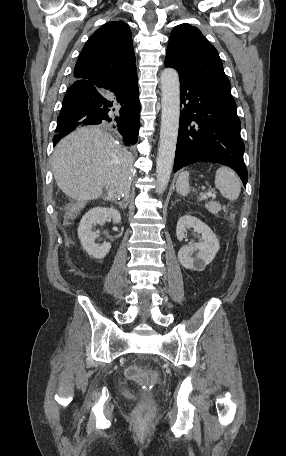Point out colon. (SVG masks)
I'll return each instance as SVG.
<instances>
[{"label":"colon","mask_w":286,"mask_h":456,"mask_svg":"<svg viewBox=\"0 0 286 456\" xmlns=\"http://www.w3.org/2000/svg\"><path fill=\"white\" fill-rule=\"evenodd\" d=\"M125 374L127 378L139 383L143 389L142 403L136 410L139 415H145L152 403L151 390L158 382V374L153 370H144L136 365H129Z\"/></svg>","instance_id":"colon-1"}]
</instances>
